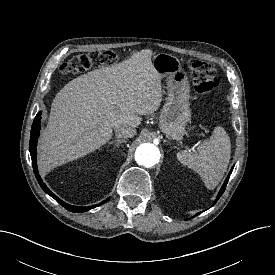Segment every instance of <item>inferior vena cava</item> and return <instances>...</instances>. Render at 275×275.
I'll return each mask as SVG.
<instances>
[{
  "label": "inferior vena cava",
  "mask_w": 275,
  "mask_h": 275,
  "mask_svg": "<svg viewBox=\"0 0 275 275\" xmlns=\"http://www.w3.org/2000/svg\"><path fill=\"white\" fill-rule=\"evenodd\" d=\"M114 131L116 136L120 138H132L136 134V129L127 124L117 125Z\"/></svg>",
  "instance_id": "602c4592"
}]
</instances>
